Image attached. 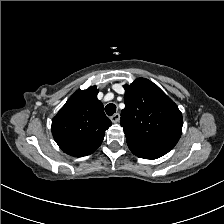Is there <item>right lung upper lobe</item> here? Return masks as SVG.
Returning <instances> with one entry per match:
<instances>
[{
    "mask_svg": "<svg viewBox=\"0 0 224 224\" xmlns=\"http://www.w3.org/2000/svg\"><path fill=\"white\" fill-rule=\"evenodd\" d=\"M97 94L96 86L76 91L52 120V134L57 144L72 143L79 156L94 152L112 124Z\"/></svg>",
    "mask_w": 224,
    "mask_h": 224,
    "instance_id": "obj_1",
    "label": "right lung upper lobe"
}]
</instances>
